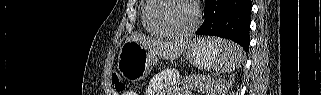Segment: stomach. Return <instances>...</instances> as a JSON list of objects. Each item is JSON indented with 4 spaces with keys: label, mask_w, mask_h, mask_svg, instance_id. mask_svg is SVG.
Returning <instances> with one entry per match:
<instances>
[{
    "label": "stomach",
    "mask_w": 321,
    "mask_h": 95,
    "mask_svg": "<svg viewBox=\"0 0 321 95\" xmlns=\"http://www.w3.org/2000/svg\"><path fill=\"white\" fill-rule=\"evenodd\" d=\"M219 39H197L186 46L190 63L202 70L214 68L223 52ZM158 57L135 41H126L118 54L117 69L128 80L140 81L147 77Z\"/></svg>",
    "instance_id": "stomach-1"
}]
</instances>
